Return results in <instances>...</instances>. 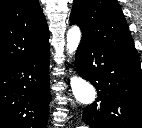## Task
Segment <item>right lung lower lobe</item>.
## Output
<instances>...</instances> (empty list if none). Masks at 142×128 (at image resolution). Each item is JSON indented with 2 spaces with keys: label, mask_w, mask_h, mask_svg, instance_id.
I'll return each mask as SVG.
<instances>
[{
  "label": "right lung lower lobe",
  "mask_w": 142,
  "mask_h": 128,
  "mask_svg": "<svg viewBox=\"0 0 142 128\" xmlns=\"http://www.w3.org/2000/svg\"><path fill=\"white\" fill-rule=\"evenodd\" d=\"M49 45L0 72V127L46 128L51 101Z\"/></svg>",
  "instance_id": "obj_1"
}]
</instances>
